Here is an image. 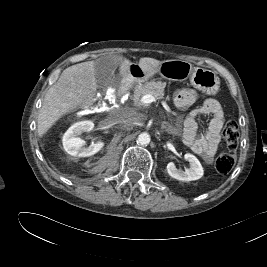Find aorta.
<instances>
[{
  "mask_svg": "<svg viewBox=\"0 0 267 267\" xmlns=\"http://www.w3.org/2000/svg\"><path fill=\"white\" fill-rule=\"evenodd\" d=\"M150 140V135L146 132H143L138 136V143L140 145H148L150 143Z\"/></svg>",
  "mask_w": 267,
  "mask_h": 267,
  "instance_id": "obj_1",
  "label": "aorta"
}]
</instances>
